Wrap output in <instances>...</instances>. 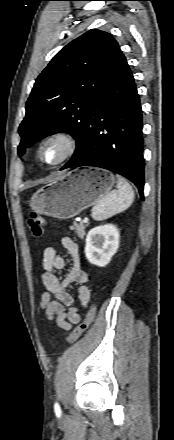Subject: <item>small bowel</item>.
I'll return each mask as SVG.
<instances>
[{
    "label": "small bowel",
    "instance_id": "obj_1",
    "mask_svg": "<svg viewBox=\"0 0 174 440\" xmlns=\"http://www.w3.org/2000/svg\"><path fill=\"white\" fill-rule=\"evenodd\" d=\"M61 242L71 255L73 266L65 278L60 280L57 272L66 266L64 257L52 247L44 250L41 278L46 290L41 296L40 307L49 320H54L64 330H70L81 321V308H85L90 300V289L86 285L88 275L81 267L78 245L69 237H63ZM72 284L79 286L77 297L80 306L74 305V299L67 290Z\"/></svg>",
    "mask_w": 174,
    "mask_h": 440
}]
</instances>
